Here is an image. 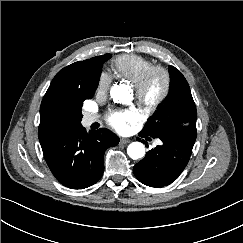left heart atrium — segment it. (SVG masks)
I'll use <instances>...</instances> for the list:
<instances>
[{
	"mask_svg": "<svg viewBox=\"0 0 243 243\" xmlns=\"http://www.w3.org/2000/svg\"><path fill=\"white\" fill-rule=\"evenodd\" d=\"M137 120V114L133 110H125L116 112L110 115L108 123L117 131L123 132L127 128L128 123H133Z\"/></svg>",
	"mask_w": 243,
	"mask_h": 243,
	"instance_id": "left-heart-atrium-1",
	"label": "left heart atrium"
}]
</instances>
